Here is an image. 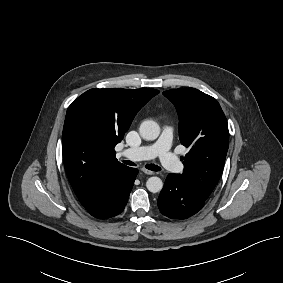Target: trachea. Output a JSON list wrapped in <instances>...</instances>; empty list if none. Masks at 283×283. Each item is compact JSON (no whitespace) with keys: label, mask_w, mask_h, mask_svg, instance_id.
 Returning a JSON list of instances; mask_svg holds the SVG:
<instances>
[{"label":"trachea","mask_w":283,"mask_h":283,"mask_svg":"<svg viewBox=\"0 0 283 283\" xmlns=\"http://www.w3.org/2000/svg\"><path fill=\"white\" fill-rule=\"evenodd\" d=\"M123 163L126 164V165H130V166H136V164L134 162L129 161V160H125V161H123ZM145 167L147 169L151 170V171H160L161 170V168L159 166L154 165V164H147Z\"/></svg>","instance_id":"3493384b"}]
</instances>
